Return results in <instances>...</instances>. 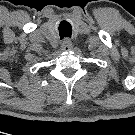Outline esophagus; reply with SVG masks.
I'll use <instances>...</instances> for the list:
<instances>
[{"label": "esophagus", "instance_id": "obj_1", "mask_svg": "<svg viewBox=\"0 0 135 135\" xmlns=\"http://www.w3.org/2000/svg\"><path fill=\"white\" fill-rule=\"evenodd\" d=\"M72 49V43L69 39H65L61 44V50L64 52L70 51Z\"/></svg>", "mask_w": 135, "mask_h": 135}]
</instances>
